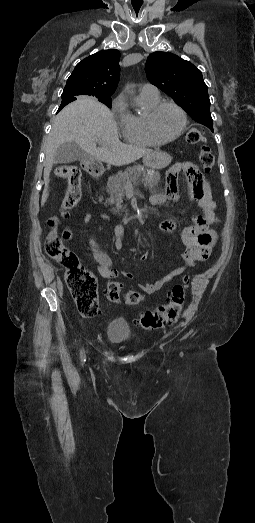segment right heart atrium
Here are the masks:
<instances>
[{"mask_svg": "<svg viewBox=\"0 0 255 523\" xmlns=\"http://www.w3.org/2000/svg\"><path fill=\"white\" fill-rule=\"evenodd\" d=\"M124 94H119L112 103V111L119 116L123 110Z\"/></svg>", "mask_w": 255, "mask_h": 523, "instance_id": "right-heart-atrium-1", "label": "right heart atrium"}]
</instances>
